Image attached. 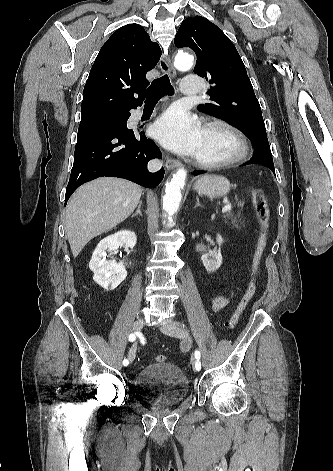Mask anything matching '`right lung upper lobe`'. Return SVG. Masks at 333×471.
I'll return each instance as SVG.
<instances>
[{
	"mask_svg": "<svg viewBox=\"0 0 333 471\" xmlns=\"http://www.w3.org/2000/svg\"><path fill=\"white\" fill-rule=\"evenodd\" d=\"M160 56L159 45L141 25L127 24L114 32L102 46L86 81L81 121L140 106L149 85L146 73Z\"/></svg>",
	"mask_w": 333,
	"mask_h": 471,
	"instance_id": "obj_1",
	"label": "right lung upper lobe"
}]
</instances>
